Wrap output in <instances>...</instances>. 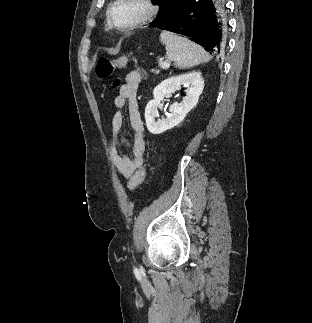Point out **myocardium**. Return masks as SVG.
<instances>
[{
    "instance_id": "1",
    "label": "myocardium",
    "mask_w": 312,
    "mask_h": 323,
    "mask_svg": "<svg viewBox=\"0 0 312 323\" xmlns=\"http://www.w3.org/2000/svg\"><path fill=\"white\" fill-rule=\"evenodd\" d=\"M155 0H116L110 3L109 10H105L110 25H113V31H137L146 21H155L157 13L160 12L161 4L154 3ZM118 13H137L131 20H124L125 16Z\"/></svg>"
}]
</instances>
